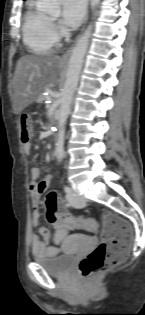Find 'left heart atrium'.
I'll return each instance as SVG.
<instances>
[{
  "label": "left heart atrium",
  "instance_id": "left-heart-atrium-1",
  "mask_svg": "<svg viewBox=\"0 0 145 315\" xmlns=\"http://www.w3.org/2000/svg\"><path fill=\"white\" fill-rule=\"evenodd\" d=\"M86 0H62V24L67 28L78 26L84 16Z\"/></svg>",
  "mask_w": 145,
  "mask_h": 315
}]
</instances>
